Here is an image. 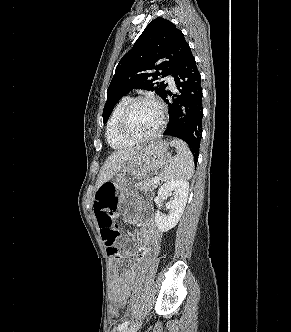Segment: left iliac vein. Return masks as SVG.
<instances>
[{
	"instance_id": "left-iliac-vein-1",
	"label": "left iliac vein",
	"mask_w": 291,
	"mask_h": 332,
	"mask_svg": "<svg viewBox=\"0 0 291 332\" xmlns=\"http://www.w3.org/2000/svg\"><path fill=\"white\" fill-rule=\"evenodd\" d=\"M137 330V326H133L131 328H124L123 330H121V332H136Z\"/></svg>"
}]
</instances>
